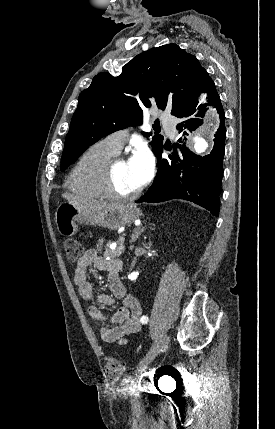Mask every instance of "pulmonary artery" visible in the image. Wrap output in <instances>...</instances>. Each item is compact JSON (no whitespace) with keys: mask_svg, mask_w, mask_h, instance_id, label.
I'll list each match as a JSON object with an SVG mask.
<instances>
[{"mask_svg":"<svg viewBox=\"0 0 275 429\" xmlns=\"http://www.w3.org/2000/svg\"><path fill=\"white\" fill-rule=\"evenodd\" d=\"M162 124L170 136L175 134V120L170 117H164L162 119ZM126 133L124 132H115L106 136L101 142L109 149L114 152H119L122 148Z\"/></svg>","mask_w":275,"mask_h":429,"instance_id":"e3ab8cb5","label":"pulmonary artery"}]
</instances>
